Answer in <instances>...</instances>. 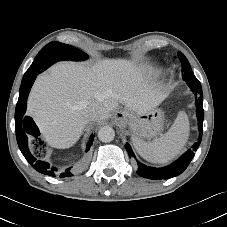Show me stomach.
<instances>
[{
    "instance_id": "0dacf381",
    "label": "stomach",
    "mask_w": 227,
    "mask_h": 227,
    "mask_svg": "<svg viewBox=\"0 0 227 227\" xmlns=\"http://www.w3.org/2000/svg\"><path fill=\"white\" fill-rule=\"evenodd\" d=\"M124 120L133 137L152 139L160 134L164 126V112L153 109L146 113L124 112Z\"/></svg>"
}]
</instances>
